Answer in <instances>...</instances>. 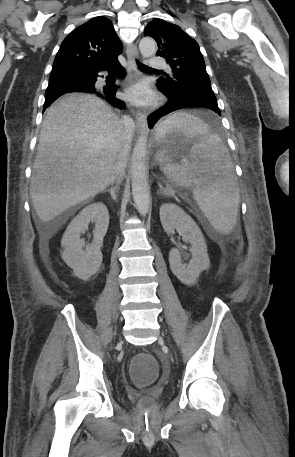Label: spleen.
Listing matches in <instances>:
<instances>
[{
    "instance_id": "3e777b00",
    "label": "spleen",
    "mask_w": 295,
    "mask_h": 457,
    "mask_svg": "<svg viewBox=\"0 0 295 457\" xmlns=\"http://www.w3.org/2000/svg\"><path fill=\"white\" fill-rule=\"evenodd\" d=\"M173 129L201 136L190 151L191 164L167 163L162 167L168 179L182 187H191L194 199L212 227L230 234L236 224L240 202L238 181L227 148L197 116L177 112L157 128V138Z\"/></svg>"
}]
</instances>
